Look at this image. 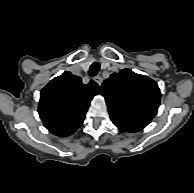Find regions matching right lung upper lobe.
Here are the masks:
<instances>
[{
	"instance_id": "cb5924a9",
	"label": "right lung upper lobe",
	"mask_w": 194,
	"mask_h": 193,
	"mask_svg": "<svg viewBox=\"0 0 194 193\" xmlns=\"http://www.w3.org/2000/svg\"><path fill=\"white\" fill-rule=\"evenodd\" d=\"M99 93L94 81L84 85L80 77L65 71L41 90L38 113L50 132L66 137L82 125L90 101Z\"/></svg>"
}]
</instances>
